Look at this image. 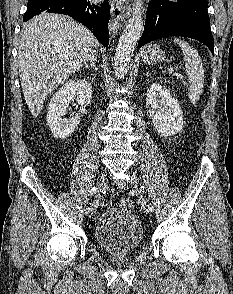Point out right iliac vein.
<instances>
[{
  "mask_svg": "<svg viewBox=\"0 0 233 294\" xmlns=\"http://www.w3.org/2000/svg\"><path fill=\"white\" fill-rule=\"evenodd\" d=\"M96 186L98 188V191H101L103 189V187L105 186V175L101 174L98 179H97V183ZM97 211V202H94L90 211V215L95 214Z\"/></svg>",
  "mask_w": 233,
  "mask_h": 294,
  "instance_id": "63e3f726",
  "label": "right iliac vein"
}]
</instances>
